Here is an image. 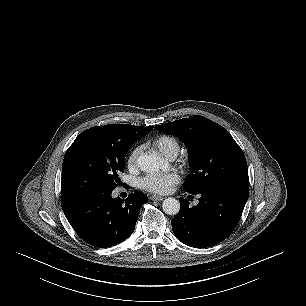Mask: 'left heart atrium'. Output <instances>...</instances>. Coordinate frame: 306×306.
Here are the masks:
<instances>
[{
  "instance_id": "1",
  "label": "left heart atrium",
  "mask_w": 306,
  "mask_h": 306,
  "mask_svg": "<svg viewBox=\"0 0 306 306\" xmlns=\"http://www.w3.org/2000/svg\"><path fill=\"white\" fill-rule=\"evenodd\" d=\"M179 176L174 173L147 174L139 180V186L151 193L166 194L179 182Z\"/></svg>"
}]
</instances>
